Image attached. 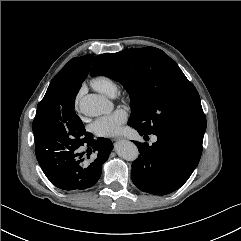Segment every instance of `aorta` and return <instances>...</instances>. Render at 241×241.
<instances>
[{
  "label": "aorta",
  "mask_w": 241,
  "mask_h": 241,
  "mask_svg": "<svg viewBox=\"0 0 241 241\" xmlns=\"http://www.w3.org/2000/svg\"><path fill=\"white\" fill-rule=\"evenodd\" d=\"M111 108V102L97 94H87L79 101V110L85 116H99L110 112ZM115 150L118 156L127 161H134L139 155L137 146L128 140H122L116 143Z\"/></svg>",
  "instance_id": "1"
}]
</instances>
